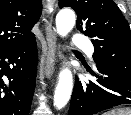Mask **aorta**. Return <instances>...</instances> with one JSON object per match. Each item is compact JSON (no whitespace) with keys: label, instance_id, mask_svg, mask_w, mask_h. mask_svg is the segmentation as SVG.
I'll return each mask as SVG.
<instances>
[{"label":"aorta","instance_id":"obj_1","mask_svg":"<svg viewBox=\"0 0 131 115\" xmlns=\"http://www.w3.org/2000/svg\"><path fill=\"white\" fill-rule=\"evenodd\" d=\"M75 13L70 9H62L56 16L57 33L65 37L75 25ZM73 89V76L68 68H63L59 73L58 84L54 93V106L62 109L69 101Z\"/></svg>","mask_w":131,"mask_h":115}]
</instances>
